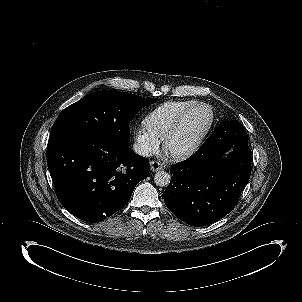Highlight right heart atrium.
Instances as JSON below:
<instances>
[{
    "mask_svg": "<svg viewBox=\"0 0 302 302\" xmlns=\"http://www.w3.org/2000/svg\"><path fill=\"white\" fill-rule=\"evenodd\" d=\"M160 145L159 138L146 133L139 129L136 132V149L141 154L154 153L158 150Z\"/></svg>",
    "mask_w": 302,
    "mask_h": 302,
    "instance_id": "1",
    "label": "right heart atrium"
}]
</instances>
